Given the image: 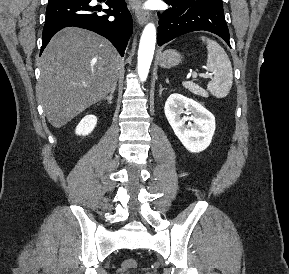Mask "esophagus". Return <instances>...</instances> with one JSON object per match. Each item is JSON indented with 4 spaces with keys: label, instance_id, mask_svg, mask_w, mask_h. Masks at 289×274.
I'll return each instance as SVG.
<instances>
[{
    "label": "esophagus",
    "instance_id": "obj_1",
    "mask_svg": "<svg viewBox=\"0 0 289 274\" xmlns=\"http://www.w3.org/2000/svg\"><path fill=\"white\" fill-rule=\"evenodd\" d=\"M130 4L135 12L139 25H144L148 20L149 14L147 11L141 9V0H130Z\"/></svg>",
    "mask_w": 289,
    "mask_h": 274
}]
</instances>
